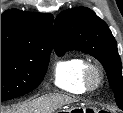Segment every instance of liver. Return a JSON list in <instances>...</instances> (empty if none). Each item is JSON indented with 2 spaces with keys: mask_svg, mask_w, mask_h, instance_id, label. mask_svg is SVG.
<instances>
[{
  "mask_svg": "<svg viewBox=\"0 0 123 113\" xmlns=\"http://www.w3.org/2000/svg\"><path fill=\"white\" fill-rule=\"evenodd\" d=\"M71 102L73 100L66 96H43L33 101L14 106L7 113H53L58 108Z\"/></svg>",
  "mask_w": 123,
  "mask_h": 113,
  "instance_id": "1",
  "label": "liver"
}]
</instances>
